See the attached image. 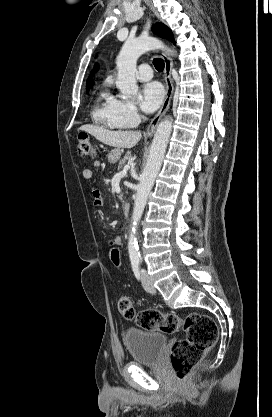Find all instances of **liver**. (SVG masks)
Masks as SVG:
<instances>
[{
	"instance_id": "liver-1",
	"label": "liver",
	"mask_w": 272,
	"mask_h": 417,
	"mask_svg": "<svg viewBox=\"0 0 272 417\" xmlns=\"http://www.w3.org/2000/svg\"><path fill=\"white\" fill-rule=\"evenodd\" d=\"M79 130L94 136L100 142L118 148H132L141 139L139 131H111L95 125H82Z\"/></svg>"
}]
</instances>
